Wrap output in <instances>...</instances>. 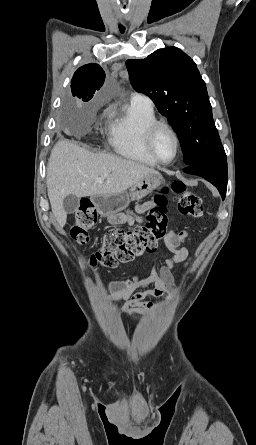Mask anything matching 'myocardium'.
Here are the masks:
<instances>
[{"label":"myocardium","mask_w":256,"mask_h":445,"mask_svg":"<svg viewBox=\"0 0 256 445\" xmlns=\"http://www.w3.org/2000/svg\"><path fill=\"white\" fill-rule=\"evenodd\" d=\"M160 129H166L167 131H169L175 141L176 151H175L173 158L169 161H164V160L160 159L155 151V147H154L155 136ZM145 147H146L148 154L150 155V157L153 159V161L155 163L160 164V165H170V164L174 163L177 160V158L179 157L180 150H181V142H180L178 133L169 123L157 120L154 123H152L147 128V130L145 132Z\"/></svg>","instance_id":"obj_1"}]
</instances>
